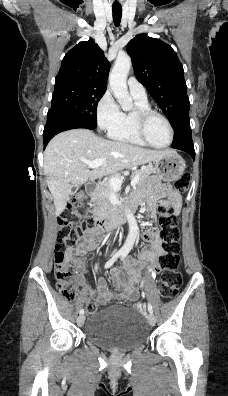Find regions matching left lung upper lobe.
<instances>
[{"label":"left lung upper lobe","instance_id":"5c2ea615","mask_svg":"<svg viewBox=\"0 0 228 396\" xmlns=\"http://www.w3.org/2000/svg\"><path fill=\"white\" fill-rule=\"evenodd\" d=\"M134 73L170 121L173 129L189 116L190 102L183 66L175 51L163 41L139 34L127 45Z\"/></svg>","mask_w":228,"mask_h":396}]
</instances>
